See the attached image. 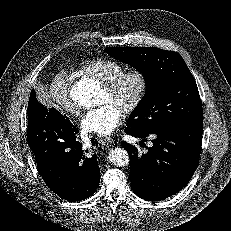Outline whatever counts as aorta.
Segmentation results:
<instances>
[{
	"mask_svg": "<svg viewBox=\"0 0 231 231\" xmlns=\"http://www.w3.org/2000/svg\"><path fill=\"white\" fill-rule=\"evenodd\" d=\"M100 92L101 89L95 82L83 79L71 87L70 97L78 106L90 108L98 104V95ZM108 158L117 167L126 166L130 161L128 152L118 147L110 150Z\"/></svg>",
	"mask_w": 231,
	"mask_h": 231,
	"instance_id": "aorta-1",
	"label": "aorta"
}]
</instances>
